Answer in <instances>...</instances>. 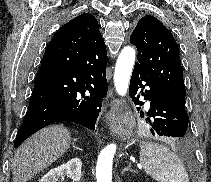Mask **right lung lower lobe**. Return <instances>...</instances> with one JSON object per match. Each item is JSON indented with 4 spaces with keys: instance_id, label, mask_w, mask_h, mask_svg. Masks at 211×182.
I'll return each instance as SVG.
<instances>
[{
    "instance_id": "1",
    "label": "right lung lower lobe",
    "mask_w": 211,
    "mask_h": 182,
    "mask_svg": "<svg viewBox=\"0 0 211 182\" xmlns=\"http://www.w3.org/2000/svg\"><path fill=\"white\" fill-rule=\"evenodd\" d=\"M103 39L80 42L53 37L46 48L14 147L39 129L60 121L95 130L107 95Z\"/></svg>"
}]
</instances>
